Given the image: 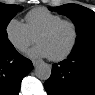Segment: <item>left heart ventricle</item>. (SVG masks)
<instances>
[{"label": "left heart ventricle", "instance_id": "b2bd125f", "mask_svg": "<svg viewBox=\"0 0 95 95\" xmlns=\"http://www.w3.org/2000/svg\"><path fill=\"white\" fill-rule=\"evenodd\" d=\"M73 36L72 26L63 24L52 33L40 36L37 43L47 49L49 56H58L68 49L72 43Z\"/></svg>", "mask_w": 95, "mask_h": 95}]
</instances>
